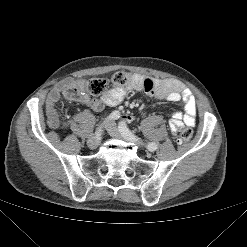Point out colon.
I'll return each mask as SVG.
<instances>
[{
	"label": "colon",
	"instance_id": "colon-1",
	"mask_svg": "<svg viewBox=\"0 0 247 247\" xmlns=\"http://www.w3.org/2000/svg\"><path fill=\"white\" fill-rule=\"evenodd\" d=\"M111 81L119 87H132L138 83L136 77L127 72H117L111 77ZM107 86V81L103 78H92L83 81L81 86H74L65 90V96L77 101L85 92L91 95H100L104 92ZM192 137L190 128H183L178 134V142H188Z\"/></svg>",
	"mask_w": 247,
	"mask_h": 247
}]
</instances>
